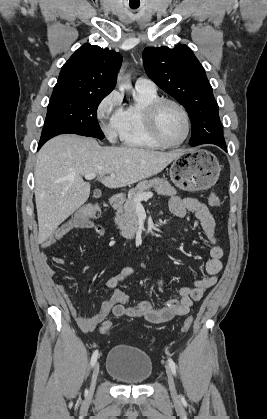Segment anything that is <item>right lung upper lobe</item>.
Listing matches in <instances>:
<instances>
[{"label": "right lung upper lobe", "instance_id": "1", "mask_svg": "<svg viewBox=\"0 0 267 419\" xmlns=\"http://www.w3.org/2000/svg\"><path fill=\"white\" fill-rule=\"evenodd\" d=\"M121 63L120 53L84 44L63 65L53 94L108 95Z\"/></svg>", "mask_w": 267, "mask_h": 419}]
</instances>
